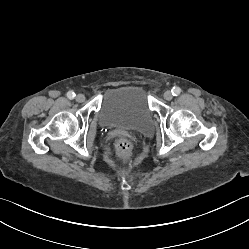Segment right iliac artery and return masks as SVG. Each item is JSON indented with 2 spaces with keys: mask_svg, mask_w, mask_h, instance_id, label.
<instances>
[{
  "mask_svg": "<svg viewBox=\"0 0 249 249\" xmlns=\"http://www.w3.org/2000/svg\"><path fill=\"white\" fill-rule=\"evenodd\" d=\"M67 97L70 98V99H72V98L75 97V93H74L73 91H69V92L67 93Z\"/></svg>",
  "mask_w": 249,
  "mask_h": 249,
  "instance_id": "82829eb1",
  "label": "right iliac artery"
}]
</instances>
